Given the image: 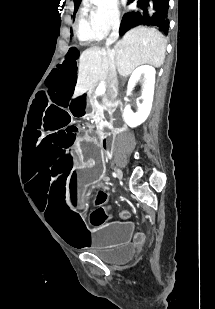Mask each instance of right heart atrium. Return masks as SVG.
<instances>
[{
    "instance_id": "1",
    "label": "right heart atrium",
    "mask_w": 215,
    "mask_h": 309,
    "mask_svg": "<svg viewBox=\"0 0 215 309\" xmlns=\"http://www.w3.org/2000/svg\"><path fill=\"white\" fill-rule=\"evenodd\" d=\"M117 0H93L94 7L98 8L92 14L91 23L98 31V38L116 33L120 27V13Z\"/></svg>"
}]
</instances>
